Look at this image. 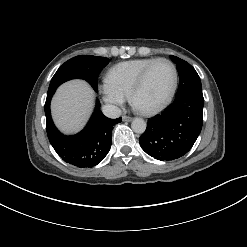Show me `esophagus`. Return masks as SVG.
Masks as SVG:
<instances>
[{"instance_id": "34e87169", "label": "esophagus", "mask_w": 247, "mask_h": 247, "mask_svg": "<svg viewBox=\"0 0 247 247\" xmlns=\"http://www.w3.org/2000/svg\"><path fill=\"white\" fill-rule=\"evenodd\" d=\"M122 119L123 121H127V122L132 121V117H129V116H123Z\"/></svg>"}]
</instances>
